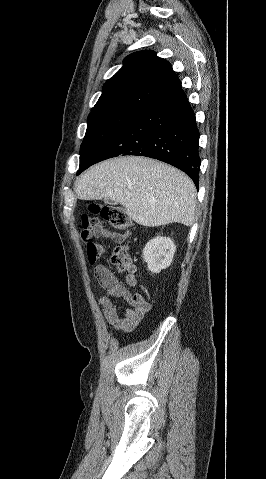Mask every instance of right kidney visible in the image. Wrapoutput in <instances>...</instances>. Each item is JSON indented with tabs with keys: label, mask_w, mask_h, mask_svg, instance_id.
I'll list each match as a JSON object with an SVG mask.
<instances>
[{
	"label": "right kidney",
	"mask_w": 266,
	"mask_h": 479,
	"mask_svg": "<svg viewBox=\"0 0 266 479\" xmlns=\"http://www.w3.org/2000/svg\"><path fill=\"white\" fill-rule=\"evenodd\" d=\"M176 250L174 242L168 237L157 236L150 240L143 249V260L148 270L159 273L170 266Z\"/></svg>",
	"instance_id": "obj_1"
}]
</instances>
